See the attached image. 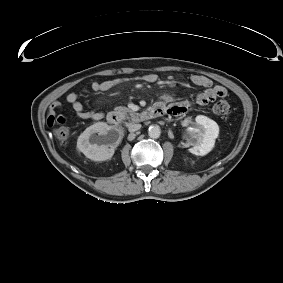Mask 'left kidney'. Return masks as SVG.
<instances>
[{
  "label": "left kidney",
  "instance_id": "5707ae66",
  "mask_svg": "<svg viewBox=\"0 0 283 283\" xmlns=\"http://www.w3.org/2000/svg\"><path fill=\"white\" fill-rule=\"evenodd\" d=\"M195 121L201 130L196 128L188 130V146H191L188 150L194 155L204 156L214 148L215 140L219 135V126L204 115H198Z\"/></svg>",
  "mask_w": 283,
  "mask_h": 283
}]
</instances>
